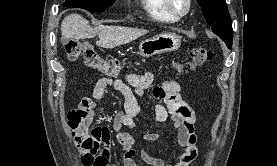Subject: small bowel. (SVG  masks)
Instances as JSON below:
<instances>
[{"label":"small bowel","mask_w":277,"mask_h":166,"mask_svg":"<svg viewBox=\"0 0 277 166\" xmlns=\"http://www.w3.org/2000/svg\"><path fill=\"white\" fill-rule=\"evenodd\" d=\"M153 80L154 74L151 72L128 74L125 79H99L93 88L92 97L82 99L78 109L69 113L68 125H71L75 111H81L85 113V121L89 126L94 117L95 105L103 99L109 87L113 88L124 99L123 108L116 112L113 123L116 140L122 148V166H137L135 162L136 140L129 129L134 127V118L141 110L137 96L144 95ZM153 95L158 99L154 109L156 121L161 123L168 118L172 121L176 130L175 142L183 151L175 155L172 160H166L158 154L151 155L140 147L138 150L140 158L150 166H192L198 156L196 117L193 109L182 100L180 86L174 80H164L155 87ZM142 139L144 142H154L160 139V134L147 132L142 135ZM79 143L82 160L87 166H118L111 160L113 139L109 127H94Z\"/></svg>","instance_id":"1"}]
</instances>
